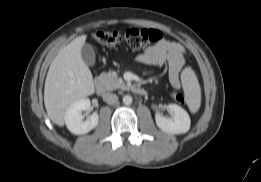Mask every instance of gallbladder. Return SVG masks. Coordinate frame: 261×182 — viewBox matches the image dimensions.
Returning a JSON list of instances; mask_svg holds the SVG:
<instances>
[{
	"instance_id": "1",
	"label": "gallbladder",
	"mask_w": 261,
	"mask_h": 182,
	"mask_svg": "<svg viewBox=\"0 0 261 182\" xmlns=\"http://www.w3.org/2000/svg\"><path fill=\"white\" fill-rule=\"evenodd\" d=\"M81 56L88 66H93L95 64V52L90 44L85 43L82 46Z\"/></svg>"
}]
</instances>
